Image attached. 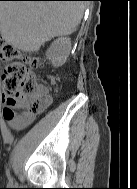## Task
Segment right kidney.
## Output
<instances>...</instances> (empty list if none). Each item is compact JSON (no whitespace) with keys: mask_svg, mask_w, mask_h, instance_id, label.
Listing matches in <instances>:
<instances>
[{"mask_svg":"<svg viewBox=\"0 0 137 189\" xmlns=\"http://www.w3.org/2000/svg\"><path fill=\"white\" fill-rule=\"evenodd\" d=\"M71 51V40L69 37L61 35L56 39L46 51V57L54 67L62 66Z\"/></svg>","mask_w":137,"mask_h":189,"instance_id":"1","label":"right kidney"}]
</instances>
